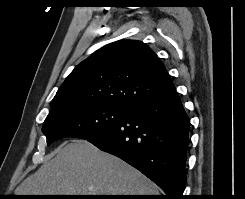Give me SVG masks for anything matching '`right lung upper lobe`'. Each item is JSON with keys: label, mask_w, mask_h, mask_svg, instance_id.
Masks as SVG:
<instances>
[{"label": "right lung upper lobe", "mask_w": 245, "mask_h": 199, "mask_svg": "<svg viewBox=\"0 0 245 199\" xmlns=\"http://www.w3.org/2000/svg\"><path fill=\"white\" fill-rule=\"evenodd\" d=\"M173 91L167 70L148 46L139 41H117L74 68L58 89L50 113L83 103L130 110Z\"/></svg>", "instance_id": "obj_1"}]
</instances>
